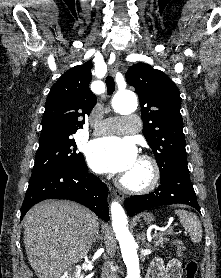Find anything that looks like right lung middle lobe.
<instances>
[{
	"instance_id": "obj_1",
	"label": "right lung middle lobe",
	"mask_w": 221,
	"mask_h": 278,
	"mask_svg": "<svg viewBox=\"0 0 221 278\" xmlns=\"http://www.w3.org/2000/svg\"><path fill=\"white\" fill-rule=\"evenodd\" d=\"M76 150L75 140L70 136L40 141L30 181L54 170L83 167L84 157Z\"/></svg>"
}]
</instances>
